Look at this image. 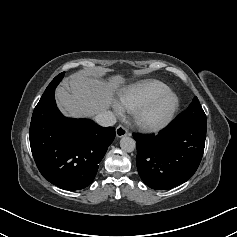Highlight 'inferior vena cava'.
<instances>
[{
    "label": "inferior vena cava",
    "instance_id": "obj_1",
    "mask_svg": "<svg viewBox=\"0 0 237 237\" xmlns=\"http://www.w3.org/2000/svg\"><path fill=\"white\" fill-rule=\"evenodd\" d=\"M95 121L102 127L113 126L116 123V117L111 111H104L95 116Z\"/></svg>",
    "mask_w": 237,
    "mask_h": 237
}]
</instances>
